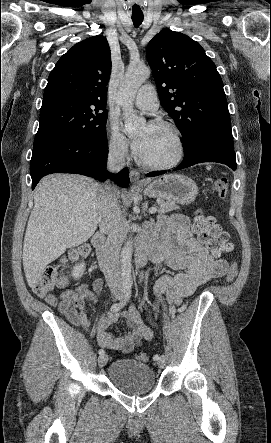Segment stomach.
Returning a JSON list of instances; mask_svg holds the SVG:
<instances>
[{"label":"stomach","mask_w":271,"mask_h":443,"mask_svg":"<svg viewBox=\"0 0 271 443\" xmlns=\"http://www.w3.org/2000/svg\"><path fill=\"white\" fill-rule=\"evenodd\" d=\"M143 184L145 186L144 196L169 200V202H176V204H192L198 194L195 182L187 176H180V174L162 176L154 182H143Z\"/></svg>","instance_id":"1"}]
</instances>
